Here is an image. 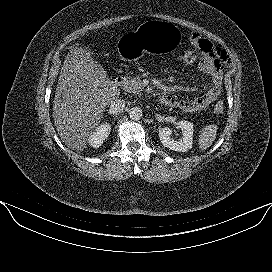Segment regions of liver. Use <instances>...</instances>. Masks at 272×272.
Segmentation results:
<instances>
[{"label": "liver", "instance_id": "liver-1", "mask_svg": "<svg viewBox=\"0 0 272 272\" xmlns=\"http://www.w3.org/2000/svg\"><path fill=\"white\" fill-rule=\"evenodd\" d=\"M119 95L90 53L73 48L63 62L53 101V120L63 142L72 150L85 149L106 107Z\"/></svg>", "mask_w": 272, "mask_h": 272}]
</instances>
